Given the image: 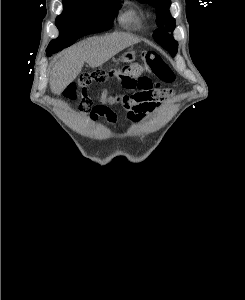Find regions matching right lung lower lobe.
Masks as SVG:
<instances>
[{"instance_id": "1", "label": "right lung lower lobe", "mask_w": 245, "mask_h": 300, "mask_svg": "<svg viewBox=\"0 0 245 300\" xmlns=\"http://www.w3.org/2000/svg\"><path fill=\"white\" fill-rule=\"evenodd\" d=\"M80 28L83 30V36L87 34L97 33L105 31V27L102 23L98 22L97 20L90 19V20H84L80 22ZM47 56H51L53 53L46 51Z\"/></svg>"}]
</instances>
